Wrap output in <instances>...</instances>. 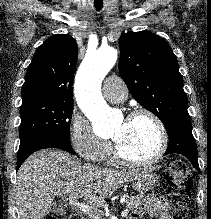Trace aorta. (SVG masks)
Returning a JSON list of instances; mask_svg holds the SVG:
<instances>
[{
	"instance_id": "aorta-1",
	"label": "aorta",
	"mask_w": 211,
	"mask_h": 219,
	"mask_svg": "<svg viewBox=\"0 0 211 219\" xmlns=\"http://www.w3.org/2000/svg\"><path fill=\"white\" fill-rule=\"evenodd\" d=\"M116 60L117 51L113 47H101L88 52L75 79L74 90L78 105L92 122L93 131L99 137L111 136L118 121L101 94V83Z\"/></svg>"
}]
</instances>
